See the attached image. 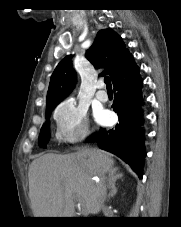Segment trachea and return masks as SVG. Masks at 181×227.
<instances>
[{"label":"trachea","mask_w":181,"mask_h":227,"mask_svg":"<svg viewBox=\"0 0 181 227\" xmlns=\"http://www.w3.org/2000/svg\"><path fill=\"white\" fill-rule=\"evenodd\" d=\"M104 82H105V84L107 85V88H108V89H112V86H111V83H110V78H109V76H106V77L104 78Z\"/></svg>","instance_id":"3493384b"}]
</instances>
